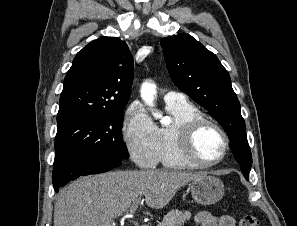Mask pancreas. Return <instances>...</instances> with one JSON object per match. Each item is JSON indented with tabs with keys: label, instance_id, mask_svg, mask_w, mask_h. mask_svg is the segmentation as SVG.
<instances>
[{
	"label": "pancreas",
	"instance_id": "pancreas-1",
	"mask_svg": "<svg viewBox=\"0 0 297 226\" xmlns=\"http://www.w3.org/2000/svg\"><path fill=\"white\" fill-rule=\"evenodd\" d=\"M191 218L189 211L172 210L169 211L157 226H182L183 223Z\"/></svg>",
	"mask_w": 297,
	"mask_h": 226
}]
</instances>
